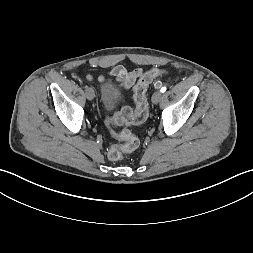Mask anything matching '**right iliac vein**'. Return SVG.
<instances>
[{
  "mask_svg": "<svg viewBox=\"0 0 253 253\" xmlns=\"http://www.w3.org/2000/svg\"><path fill=\"white\" fill-rule=\"evenodd\" d=\"M85 94H86V97H87L88 100H93L94 97H95V93H94V90L92 88H88L86 90Z\"/></svg>",
  "mask_w": 253,
  "mask_h": 253,
  "instance_id": "63e3f726",
  "label": "right iliac vein"
}]
</instances>
